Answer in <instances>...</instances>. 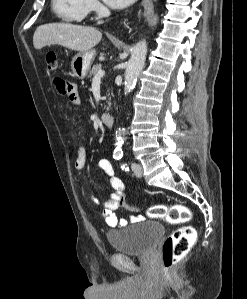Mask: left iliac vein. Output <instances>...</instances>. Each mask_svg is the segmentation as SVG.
<instances>
[{
  "label": "left iliac vein",
  "instance_id": "1",
  "mask_svg": "<svg viewBox=\"0 0 247 299\" xmlns=\"http://www.w3.org/2000/svg\"><path fill=\"white\" fill-rule=\"evenodd\" d=\"M132 170L135 173L137 177H142L143 174V168L138 163H132Z\"/></svg>",
  "mask_w": 247,
  "mask_h": 299
}]
</instances>
